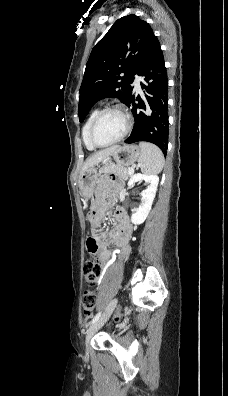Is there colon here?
I'll list each match as a JSON object with an SVG mask.
<instances>
[{"label":"colon","mask_w":228,"mask_h":396,"mask_svg":"<svg viewBox=\"0 0 228 396\" xmlns=\"http://www.w3.org/2000/svg\"><path fill=\"white\" fill-rule=\"evenodd\" d=\"M95 215L93 213L88 214V219L90 221L94 220ZM98 249V243L94 239H89L87 241L88 253L92 256L96 253ZM101 268L91 257L84 264V275L86 284L91 286L95 283L97 277L100 275ZM97 305V294L92 290H86L82 297V307L83 313L85 315H91Z\"/></svg>","instance_id":"1"}]
</instances>
